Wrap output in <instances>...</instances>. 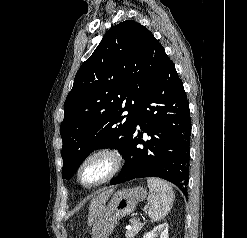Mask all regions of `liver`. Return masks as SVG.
<instances>
[{"instance_id": "obj_1", "label": "liver", "mask_w": 247, "mask_h": 238, "mask_svg": "<svg viewBox=\"0 0 247 238\" xmlns=\"http://www.w3.org/2000/svg\"><path fill=\"white\" fill-rule=\"evenodd\" d=\"M114 189H108L106 191L101 192L95 198L92 199L89 205V215H88V223L91 224L94 219H96L99 214L102 212L104 208V204L108 200V198L112 195Z\"/></svg>"}]
</instances>
